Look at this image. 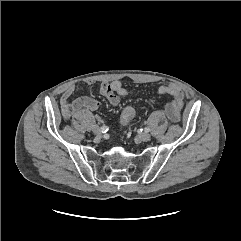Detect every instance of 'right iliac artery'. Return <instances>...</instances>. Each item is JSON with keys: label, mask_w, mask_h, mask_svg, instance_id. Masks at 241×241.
<instances>
[{"label": "right iliac artery", "mask_w": 241, "mask_h": 241, "mask_svg": "<svg viewBox=\"0 0 241 241\" xmlns=\"http://www.w3.org/2000/svg\"><path fill=\"white\" fill-rule=\"evenodd\" d=\"M101 130H102L103 133H105V132L108 131V127L104 125V126L101 127Z\"/></svg>", "instance_id": "right-iliac-artery-1"}]
</instances>
